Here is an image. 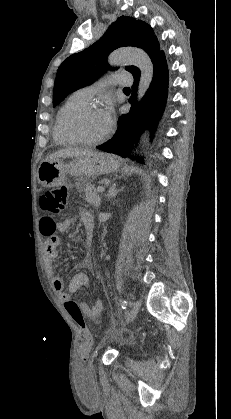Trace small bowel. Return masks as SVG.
<instances>
[{
    "label": "small bowel",
    "mask_w": 231,
    "mask_h": 419,
    "mask_svg": "<svg viewBox=\"0 0 231 419\" xmlns=\"http://www.w3.org/2000/svg\"><path fill=\"white\" fill-rule=\"evenodd\" d=\"M80 219L85 228V245L90 247L94 229V219L92 214L87 210H81ZM73 220L71 218H66L61 222H56L51 217H43L39 222V229L42 235L47 237L45 242V258L48 265L49 273L52 276V287L54 291L60 296L65 302L72 300V296L81 288L85 287L88 282V276L84 272L76 273L69 285L67 290H65V285L63 279L54 274L53 264L58 256V246L60 243V238L56 235V232H66L72 225ZM83 316L96 319L103 310V301L96 300L93 305H88L83 302H76Z\"/></svg>",
    "instance_id": "small-bowel-1"
}]
</instances>
